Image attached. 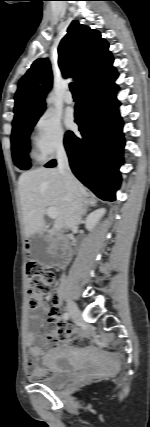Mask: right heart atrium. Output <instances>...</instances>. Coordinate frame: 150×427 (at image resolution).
I'll return each instance as SVG.
<instances>
[{
	"label": "right heart atrium",
	"instance_id": "d8ad5b80",
	"mask_svg": "<svg viewBox=\"0 0 150 427\" xmlns=\"http://www.w3.org/2000/svg\"><path fill=\"white\" fill-rule=\"evenodd\" d=\"M66 135L61 121L52 112L42 113L34 124V144L42 159H50L65 148Z\"/></svg>",
	"mask_w": 150,
	"mask_h": 427
}]
</instances>
